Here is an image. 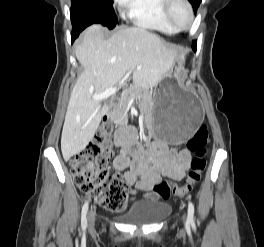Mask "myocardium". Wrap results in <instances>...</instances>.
<instances>
[{
	"mask_svg": "<svg viewBox=\"0 0 264 247\" xmlns=\"http://www.w3.org/2000/svg\"><path fill=\"white\" fill-rule=\"evenodd\" d=\"M179 3L185 5V7L187 8L189 12L190 20L186 26L178 25L174 18L175 6ZM164 12H165L167 20L177 31H184V30L189 29L193 25L194 20H195L194 9L189 0H165Z\"/></svg>",
	"mask_w": 264,
	"mask_h": 247,
	"instance_id": "f54148a6",
	"label": "myocardium"
}]
</instances>
